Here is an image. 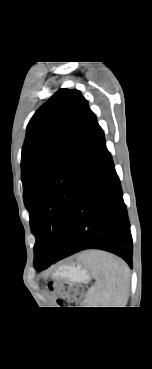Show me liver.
Here are the masks:
<instances>
[{
    "instance_id": "liver-1",
    "label": "liver",
    "mask_w": 152,
    "mask_h": 369,
    "mask_svg": "<svg viewBox=\"0 0 152 369\" xmlns=\"http://www.w3.org/2000/svg\"><path fill=\"white\" fill-rule=\"evenodd\" d=\"M88 255H89V252H88V253H86V254L84 255V257H85V258H87V257H88Z\"/></svg>"
}]
</instances>
